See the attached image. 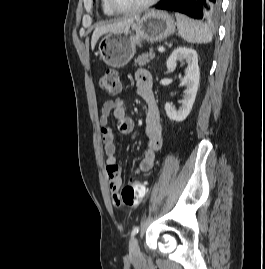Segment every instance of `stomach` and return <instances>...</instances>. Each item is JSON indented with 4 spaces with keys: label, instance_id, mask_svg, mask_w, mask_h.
Returning a JSON list of instances; mask_svg holds the SVG:
<instances>
[{
    "label": "stomach",
    "instance_id": "obj_1",
    "mask_svg": "<svg viewBox=\"0 0 265 269\" xmlns=\"http://www.w3.org/2000/svg\"><path fill=\"white\" fill-rule=\"evenodd\" d=\"M176 22L169 13L151 10L120 31L106 33L99 42L101 60L114 68L124 67L133 58L142 41H162L172 35Z\"/></svg>",
    "mask_w": 265,
    "mask_h": 269
}]
</instances>
